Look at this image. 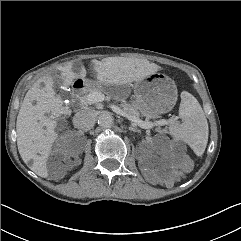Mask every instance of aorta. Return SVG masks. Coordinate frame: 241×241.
Here are the masks:
<instances>
[{
	"label": "aorta",
	"mask_w": 241,
	"mask_h": 241,
	"mask_svg": "<svg viewBox=\"0 0 241 241\" xmlns=\"http://www.w3.org/2000/svg\"><path fill=\"white\" fill-rule=\"evenodd\" d=\"M113 123H114V118L108 112H103L98 117V124L103 128H109L113 125Z\"/></svg>",
	"instance_id": "obj_1"
}]
</instances>
